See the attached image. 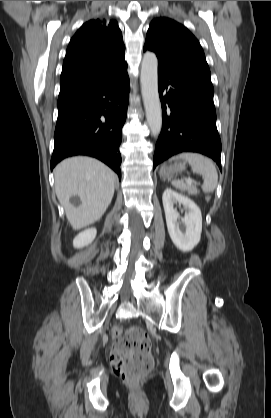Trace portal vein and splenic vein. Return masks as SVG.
<instances>
[{"mask_svg":"<svg viewBox=\"0 0 271 418\" xmlns=\"http://www.w3.org/2000/svg\"><path fill=\"white\" fill-rule=\"evenodd\" d=\"M185 181H186V183H187L189 186H191V185H192V183H193V181H192L191 179H189V178H186V179H185Z\"/></svg>","mask_w":271,"mask_h":418,"instance_id":"portal-vein-and-splenic-vein-1","label":"portal vein and splenic vein"}]
</instances>
